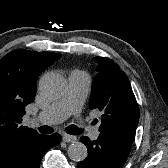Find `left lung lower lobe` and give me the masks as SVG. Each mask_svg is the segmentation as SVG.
Instances as JSON below:
<instances>
[{
    "mask_svg": "<svg viewBox=\"0 0 168 168\" xmlns=\"http://www.w3.org/2000/svg\"><path fill=\"white\" fill-rule=\"evenodd\" d=\"M80 141L87 146L88 157L78 162V168H122L132 145L102 132L94 141L85 136Z\"/></svg>",
    "mask_w": 168,
    "mask_h": 168,
    "instance_id": "obj_1",
    "label": "left lung lower lobe"
}]
</instances>
